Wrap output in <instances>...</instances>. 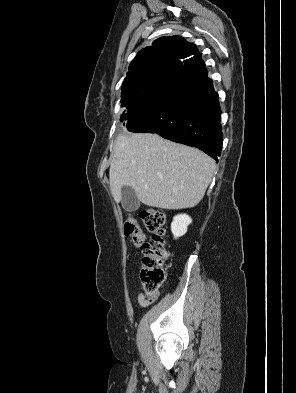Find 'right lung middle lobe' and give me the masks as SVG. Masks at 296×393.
<instances>
[{
	"label": "right lung middle lobe",
	"instance_id": "right-lung-middle-lobe-1",
	"mask_svg": "<svg viewBox=\"0 0 296 393\" xmlns=\"http://www.w3.org/2000/svg\"><path fill=\"white\" fill-rule=\"evenodd\" d=\"M166 79L165 77L154 78L147 82L139 95L127 101H121V106L127 107V113L123 114L120 119L124 126L133 120L153 100L160 85Z\"/></svg>",
	"mask_w": 296,
	"mask_h": 393
}]
</instances>
